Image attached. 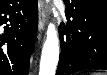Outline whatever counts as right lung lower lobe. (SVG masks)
Returning <instances> with one entry per match:
<instances>
[{
  "label": "right lung lower lobe",
  "mask_w": 107,
  "mask_h": 75,
  "mask_svg": "<svg viewBox=\"0 0 107 75\" xmlns=\"http://www.w3.org/2000/svg\"><path fill=\"white\" fill-rule=\"evenodd\" d=\"M0 75H27L37 25V0H0Z\"/></svg>",
  "instance_id": "obj_1"
}]
</instances>
